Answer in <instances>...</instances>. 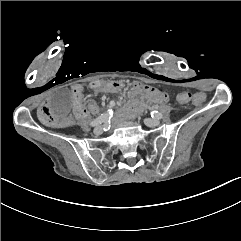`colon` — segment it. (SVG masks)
Listing matches in <instances>:
<instances>
[{
  "mask_svg": "<svg viewBox=\"0 0 241 241\" xmlns=\"http://www.w3.org/2000/svg\"><path fill=\"white\" fill-rule=\"evenodd\" d=\"M86 85L88 87H94V90L95 91H98L99 90V82L97 80H88L86 82ZM82 94V87L79 85V84H74L72 86V92H71V97L74 98L77 102V110L73 112V117L74 118H79L80 116H84L85 115V110L82 108L84 106V97ZM188 92H184V93H179L177 95V100L179 101V103L181 105H186L188 104L191 99L194 100V103L196 105H203L205 103V96L202 94V93H198V94H195V95H192Z\"/></svg>",
  "mask_w": 241,
  "mask_h": 241,
  "instance_id": "5ec220e1",
  "label": "colon"
}]
</instances>
